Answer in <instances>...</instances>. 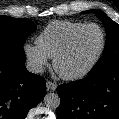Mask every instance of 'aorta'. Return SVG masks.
<instances>
[{"mask_svg":"<svg viewBox=\"0 0 119 119\" xmlns=\"http://www.w3.org/2000/svg\"><path fill=\"white\" fill-rule=\"evenodd\" d=\"M44 104L48 109H56L60 105V97L57 93H48L44 97Z\"/></svg>","mask_w":119,"mask_h":119,"instance_id":"1","label":"aorta"}]
</instances>
